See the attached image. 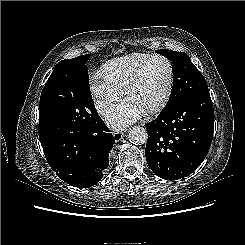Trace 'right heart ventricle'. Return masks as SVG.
<instances>
[{
    "label": "right heart ventricle",
    "mask_w": 245,
    "mask_h": 245,
    "mask_svg": "<svg viewBox=\"0 0 245 245\" xmlns=\"http://www.w3.org/2000/svg\"><path fill=\"white\" fill-rule=\"evenodd\" d=\"M149 55L132 53L115 58L103 65L102 73L113 85L123 90L137 68Z\"/></svg>",
    "instance_id": "obj_1"
}]
</instances>
